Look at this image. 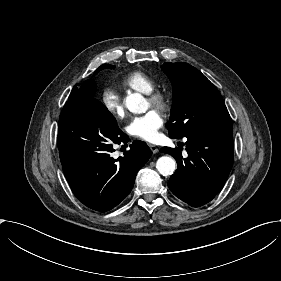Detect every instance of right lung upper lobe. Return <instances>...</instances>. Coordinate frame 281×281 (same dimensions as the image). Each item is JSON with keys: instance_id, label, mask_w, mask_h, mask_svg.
Here are the masks:
<instances>
[{"instance_id": "obj_1", "label": "right lung upper lobe", "mask_w": 281, "mask_h": 281, "mask_svg": "<svg viewBox=\"0 0 281 281\" xmlns=\"http://www.w3.org/2000/svg\"><path fill=\"white\" fill-rule=\"evenodd\" d=\"M107 65L108 64H104V65H101L95 72L93 75L97 74L100 70H102L103 68H107ZM91 80V79H90Z\"/></svg>"}]
</instances>
